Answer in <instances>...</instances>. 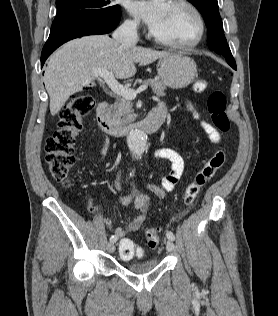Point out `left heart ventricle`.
<instances>
[{
    "mask_svg": "<svg viewBox=\"0 0 278 316\" xmlns=\"http://www.w3.org/2000/svg\"><path fill=\"white\" fill-rule=\"evenodd\" d=\"M152 32L167 41L185 42L194 37L196 23L185 8L169 3L162 21Z\"/></svg>",
    "mask_w": 278,
    "mask_h": 316,
    "instance_id": "b2bd125f",
    "label": "left heart ventricle"
}]
</instances>
